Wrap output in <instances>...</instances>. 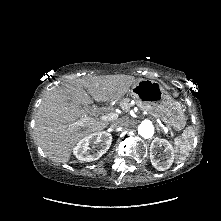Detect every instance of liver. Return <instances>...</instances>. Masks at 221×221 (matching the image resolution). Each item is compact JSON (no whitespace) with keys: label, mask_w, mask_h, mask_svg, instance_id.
Returning <instances> with one entry per match:
<instances>
[{"label":"liver","mask_w":221,"mask_h":221,"mask_svg":"<svg viewBox=\"0 0 221 221\" xmlns=\"http://www.w3.org/2000/svg\"><path fill=\"white\" fill-rule=\"evenodd\" d=\"M139 80L124 74L87 76L47 92L38 108L34 128L44 153L53 162H68L77 142L108 125V121L92 117L77 124L82 117H88L85 108L92 103L89 94L97 102L118 101Z\"/></svg>","instance_id":"6515ba94"}]
</instances>
